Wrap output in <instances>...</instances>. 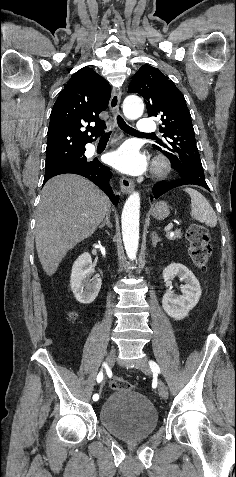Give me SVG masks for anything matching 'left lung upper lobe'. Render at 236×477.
Here are the masks:
<instances>
[{"label":"left lung upper lobe","mask_w":236,"mask_h":477,"mask_svg":"<svg viewBox=\"0 0 236 477\" xmlns=\"http://www.w3.org/2000/svg\"><path fill=\"white\" fill-rule=\"evenodd\" d=\"M128 91L144 99L149 117H159L164 140L153 147L171 159L182 178L206 182L196 146L191 115L182 93L159 69L143 65L134 75Z\"/></svg>","instance_id":"obj_1"}]
</instances>
